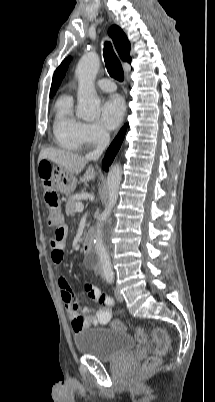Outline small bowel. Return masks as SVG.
I'll list each match as a JSON object with an SVG mask.
<instances>
[{"mask_svg":"<svg viewBox=\"0 0 215 402\" xmlns=\"http://www.w3.org/2000/svg\"><path fill=\"white\" fill-rule=\"evenodd\" d=\"M66 239L67 228L60 226L55 231V237L50 240L49 245L51 249V260L56 266V274L58 276L57 284L68 318L71 321L72 329L74 332H77L90 326L105 325L111 320V307L114 304V300L110 296H104L96 286L85 284L84 302L97 303L99 307L96 311L89 306L80 308L67 280L60 273L58 266L64 260Z\"/></svg>","mask_w":215,"mask_h":402,"instance_id":"c3829d8e","label":"small bowel"}]
</instances>
